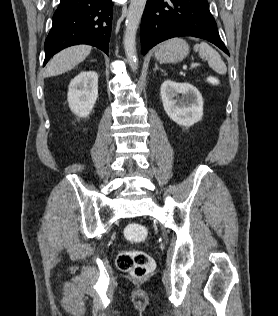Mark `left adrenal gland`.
Returning <instances> with one entry per match:
<instances>
[{
  "instance_id": "obj_1",
  "label": "left adrenal gland",
  "mask_w": 278,
  "mask_h": 316,
  "mask_svg": "<svg viewBox=\"0 0 278 316\" xmlns=\"http://www.w3.org/2000/svg\"><path fill=\"white\" fill-rule=\"evenodd\" d=\"M156 70H160L161 72H164L163 69L158 67L157 63H155V68H154V71H156Z\"/></svg>"
}]
</instances>
